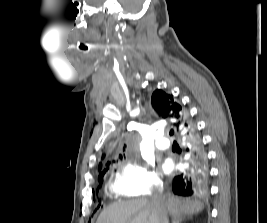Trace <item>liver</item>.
I'll return each instance as SVG.
<instances>
[{
    "label": "liver",
    "instance_id": "6515ba94",
    "mask_svg": "<svg viewBox=\"0 0 267 223\" xmlns=\"http://www.w3.org/2000/svg\"><path fill=\"white\" fill-rule=\"evenodd\" d=\"M167 212L175 217L180 214H197L203 203L169 195L165 200ZM159 211L152 200L146 198L116 202L99 215L96 223H158Z\"/></svg>",
    "mask_w": 267,
    "mask_h": 223
}]
</instances>
